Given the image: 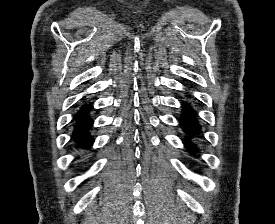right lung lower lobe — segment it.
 Returning <instances> with one entry per match:
<instances>
[{"mask_svg": "<svg viewBox=\"0 0 275 224\" xmlns=\"http://www.w3.org/2000/svg\"><path fill=\"white\" fill-rule=\"evenodd\" d=\"M91 108L90 104L82 106L74 117L75 128L72 137L76 146L80 148H89L94 141L89 134V129L93 125V121L88 116Z\"/></svg>", "mask_w": 275, "mask_h": 224, "instance_id": "right-lung-lower-lobe-1", "label": "right lung lower lobe"}]
</instances>
